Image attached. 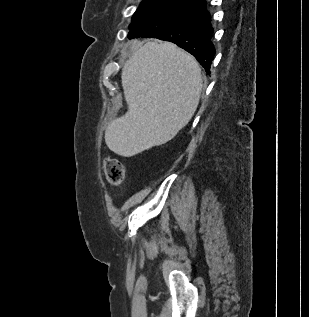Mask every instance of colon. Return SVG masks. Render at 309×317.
<instances>
[{"instance_id":"1","label":"colon","mask_w":309,"mask_h":317,"mask_svg":"<svg viewBox=\"0 0 309 317\" xmlns=\"http://www.w3.org/2000/svg\"><path fill=\"white\" fill-rule=\"evenodd\" d=\"M106 178L112 185H119L123 182L125 172L123 165L115 159H107L104 163Z\"/></svg>"}]
</instances>
